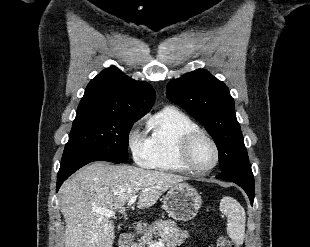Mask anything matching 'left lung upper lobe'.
<instances>
[{
	"instance_id": "1",
	"label": "left lung upper lobe",
	"mask_w": 310,
	"mask_h": 247,
	"mask_svg": "<svg viewBox=\"0 0 310 247\" xmlns=\"http://www.w3.org/2000/svg\"><path fill=\"white\" fill-rule=\"evenodd\" d=\"M166 96L205 126L217 145L221 172L249 165L234 99L222 81L206 70H195L170 81Z\"/></svg>"
}]
</instances>
